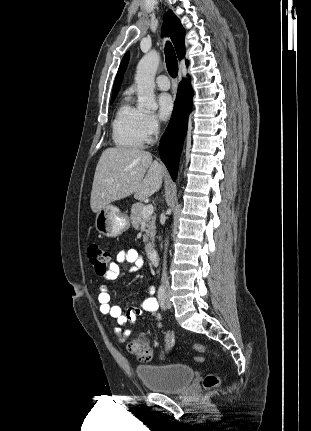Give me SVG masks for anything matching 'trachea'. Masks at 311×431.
Instances as JSON below:
<instances>
[{
    "label": "trachea",
    "instance_id": "trachea-1",
    "mask_svg": "<svg viewBox=\"0 0 311 431\" xmlns=\"http://www.w3.org/2000/svg\"><path fill=\"white\" fill-rule=\"evenodd\" d=\"M165 59H166V67L169 72V75L173 78L177 77L178 60H177L174 48L170 42H167L165 45Z\"/></svg>",
    "mask_w": 311,
    "mask_h": 431
}]
</instances>
